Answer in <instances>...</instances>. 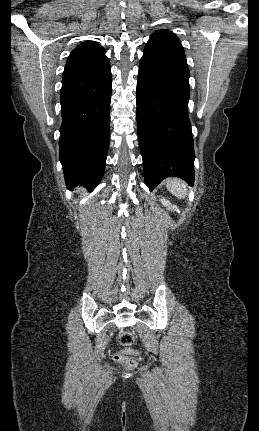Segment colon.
<instances>
[{
    "label": "colon",
    "instance_id": "5ec220e1",
    "mask_svg": "<svg viewBox=\"0 0 259 431\" xmlns=\"http://www.w3.org/2000/svg\"><path fill=\"white\" fill-rule=\"evenodd\" d=\"M119 343L122 345L123 348L117 353H115V361L126 369L135 368L136 361L133 358L127 356L128 353H136L134 350L130 349V347L134 343V335L130 331H123L119 335Z\"/></svg>",
    "mask_w": 259,
    "mask_h": 431
}]
</instances>
